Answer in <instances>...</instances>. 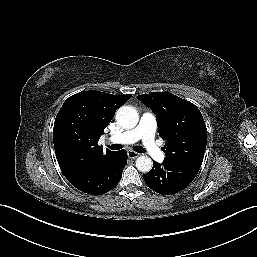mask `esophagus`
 I'll return each instance as SVG.
<instances>
[{"mask_svg":"<svg viewBox=\"0 0 257 257\" xmlns=\"http://www.w3.org/2000/svg\"><path fill=\"white\" fill-rule=\"evenodd\" d=\"M127 155L130 159H136L139 156L138 153L132 150L127 151Z\"/></svg>","mask_w":257,"mask_h":257,"instance_id":"esophagus-1","label":"esophagus"}]
</instances>
